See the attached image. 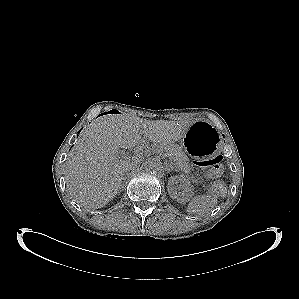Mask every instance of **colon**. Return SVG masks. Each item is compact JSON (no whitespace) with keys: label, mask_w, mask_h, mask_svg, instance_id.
I'll return each mask as SVG.
<instances>
[{"label":"colon","mask_w":299,"mask_h":299,"mask_svg":"<svg viewBox=\"0 0 299 299\" xmlns=\"http://www.w3.org/2000/svg\"><path fill=\"white\" fill-rule=\"evenodd\" d=\"M194 164L201 171H204L209 179L217 178L223 171V157L221 155H217L206 161H195Z\"/></svg>","instance_id":"colon-1"}]
</instances>
